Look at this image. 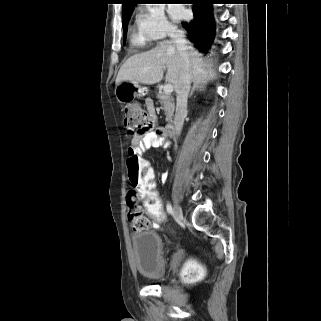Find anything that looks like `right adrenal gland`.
Returning a JSON list of instances; mask_svg holds the SVG:
<instances>
[{"instance_id":"1","label":"right adrenal gland","mask_w":321,"mask_h":321,"mask_svg":"<svg viewBox=\"0 0 321 321\" xmlns=\"http://www.w3.org/2000/svg\"><path fill=\"white\" fill-rule=\"evenodd\" d=\"M205 88H206V85L205 83H200L198 81H194L193 82V86H192V89L189 93V98L193 95V92L194 91H200V92H203L205 91Z\"/></svg>"}]
</instances>
